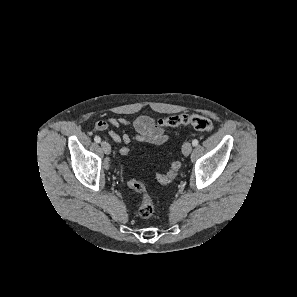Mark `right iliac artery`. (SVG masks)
Returning <instances> with one entry per match:
<instances>
[{
    "label": "right iliac artery",
    "mask_w": 297,
    "mask_h": 297,
    "mask_svg": "<svg viewBox=\"0 0 297 297\" xmlns=\"http://www.w3.org/2000/svg\"><path fill=\"white\" fill-rule=\"evenodd\" d=\"M95 142L99 143L101 141V138L99 136L94 137Z\"/></svg>",
    "instance_id": "1"
}]
</instances>
